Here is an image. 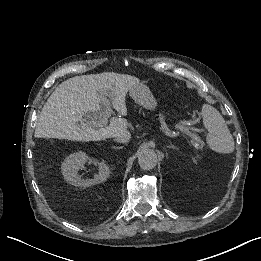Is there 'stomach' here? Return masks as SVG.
<instances>
[{
	"instance_id": "0dacf381",
	"label": "stomach",
	"mask_w": 261,
	"mask_h": 261,
	"mask_svg": "<svg viewBox=\"0 0 261 261\" xmlns=\"http://www.w3.org/2000/svg\"><path fill=\"white\" fill-rule=\"evenodd\" d=\"M129 94L133 100L143 108L148 110L156 109L157 101L146 85L138 83L132 86L129 89Z\"/></svg>"
}]
</instances>
